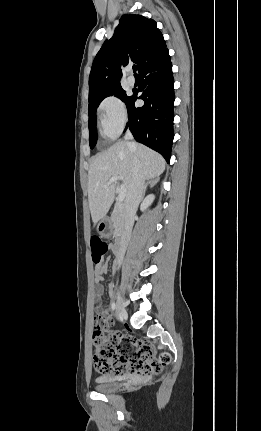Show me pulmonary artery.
I'll return each instance as SVG.
<instances>
[{
    "label": "pulmonary artery",
    "mask_w": 261,
    "mask_h": 431,
    "mask_svg": "<svg viewBox=\"0 0 261 431\" xmlns=\"http://www.w3.org/2000/svg\"><path fill=\"white\" fill-rule=\"evenodd\" d=\"M127 83H128V85L133 86V85L135 84V79H134V77H133V76H129V77L127 78Z\"/></svg>",
    "instance_id": "obj_1"
}]
</instances>
